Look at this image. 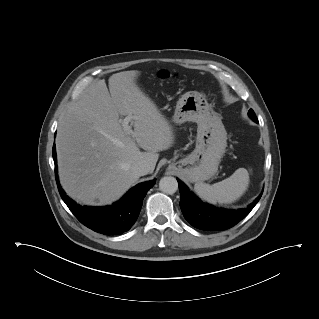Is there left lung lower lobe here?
<instances>
[{
    "mask_svg": "<svg viewBox=\"0 0 319 319\" xmlns=\"http://www.w3.org/2000/svg\"><path fill=\"white\" fill-rule=\"evenodd\" d=\"M177 181L180 190V207L185 219L192 226L205 231L225 230L234 226L251 212L262 196L261 193L246 208L237 210L216 208L202 203L179 179Z\"/></svg>",
    "mask_w": 319,
    "mask_h": 319,
    "instance_id": "obj_1",
    "label": "left lung lower lobe"
}]
</instances>
